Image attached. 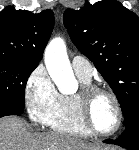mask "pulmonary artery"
<instances>
[{
    "instance_id": "1",
    "label": "pulmonary artery",
    "mask_w": 139,
    "mask_h": 150,
    "mask_svg": "<svg viewBox=\"0 0 139 150\" xmlns=\"http://www.w3.org/2000/svg\"><path fill=\"white\" fill-rule=\"evenodd\" d=\"M71 64L73 71L77 76L91 80L93 75V67L86 58L82 56H75L73 57Z\"/></svg>"
}]
</instances>
